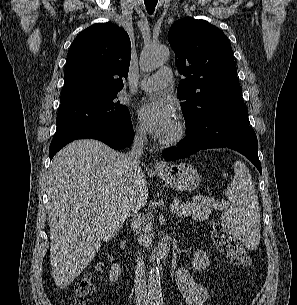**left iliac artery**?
I'll list each match as a JSON object with an SVG mask.
<instances>
[{
  "instance_id": "obj_1",
  "label": "left iliac artery",
  "mask_w": 297,
  "mask_h": 305,
  "mask_svg": "<svg viewBox=\"0 0 297 305\" xmlns=\"http://www.w3.org/2000/svg\"><path fill=\"white\" fill-rule=\"evenodd\" d=\"M154 305H163V298L161 295L155 296V304Z\"/></svg>"
}]
</instances>
